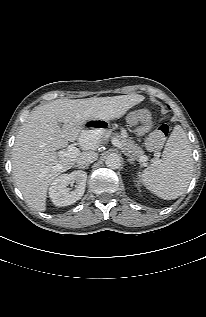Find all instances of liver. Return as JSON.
Returning <instances> with one entry per match:
<instances>
[{
	"label": "liver",
	"mask_w": 206,
	"mask_h": 317,
	"mask_svg": "<svg viewBox=\"0 0 206 317\" xmlns=\"http://www.w3.org/2000/svg\"><path fill=\"white\" fill-rule=\"evenodd\" d=\"M143 100L142 95L129 94L57 99L36 107L22 124L12 149L13 177L26 202L37 211H45L49 185L72 168L82 154L73 158L59 157L56 150L77 139L84 150L98 146V137L89 139L88 145L82 142L88 138L81 134L88 121L118 119Z\"/></svg>",
	"instance_id": "1"
}]
</instances>
